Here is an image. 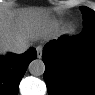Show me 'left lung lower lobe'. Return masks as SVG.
I'll return each mask as SVG.
<instances>
[{"mask_svg":"<svg viewBox=\"0 0 95 95\" xmlns=\"http://www.w3.org/2000/svg\"><path fill=\"white\" fill-rule=\"evenodd\" d=\"M42 59L50 95H95V27L50 41Z\"/></svg>","mask_w":95,"mask_h":95,"instance_id":"0a47b994","label":"left lung lower lobe"}]
</instances>
